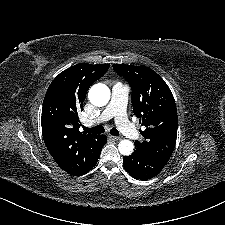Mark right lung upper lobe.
<instances>
[{
	"mask_svg": "<svg viewBox=\"0 0 225 225\" xmlns=\"http://www.w3.org/2000/svg\"><path fill=\"white\" fill-rule=\"evenodd\" d=\"M108 64L74 65L55 77L46 92L41 126L45 145L55 162L71 175H83L97 162L102 135L79 131L78 112L89 87L109 69Z\"/></svg>",
	"mask_w": 225,
	"mask_h": 225,
	"instance_id": "obj_1",
	"label": "right lung upper lobe"
}]
</instances>
